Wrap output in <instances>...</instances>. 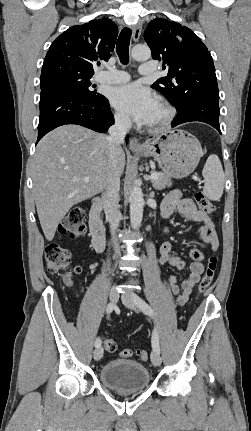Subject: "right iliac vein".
Wrapping results in <instances>:
<instances>
[{
	"instance_id": "obj_1",
	"label": "right iliac vein",
	"mask_w": 251,
	"mask_h": 431,
	"mask_svg": "<svg viewBox=\"0 0 251 431\" xmlns=\"http://www.w3.org/2000/svg\"><path fill=\"white\" fill-rule=\"evenodd\" d=\"M109 298L113 304H115L118 301L119 294L115 286L111 288L109 293ZM102 356H103V348L99 346L94 350V359L96 361H99L102 358Z\"/></svg>"
}]
</instances>
